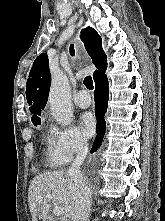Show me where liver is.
<instances>
[{"label": "liver", "instance_id": "6515ba94", "mask_svg": "<svg viewBox=\"0 0 165 221\" xmlns=\"http://www.w3.org/2000/svg\"><path fill=\"white\" fill-rule=\"evenodd\" d=\"M51 194L52 199L45 194ZM73 184L70 176L63 171L45 172L33 178L28 189V204L33 221H45L50 208V201L64 209L66 217L71 218ZM42 196L41 199H38Z\"/></svg>", "mask_w": 165, "mask_h": 221}]
</instances>
